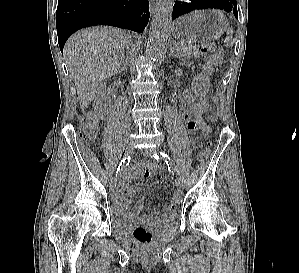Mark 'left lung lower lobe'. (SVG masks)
Masks as SVG:
<instances>
[{"mask_svg": "<svg viewBox=\"0 0 299 273\" xmlns=\"http://www.w3.org/2000/svg\"><path fill=\"white\" fill-rule=\"evenodd\" d=\"M208 8L221 9L227 12L233 11L235 17L238 18L236 0H190L175 3L172 19L194 10Z\"/></svg>", "mask_w": 299, "mask_h": 273, "instance_id": "0a47b994", "label": "left lung lower lobe"}]
</instances>
